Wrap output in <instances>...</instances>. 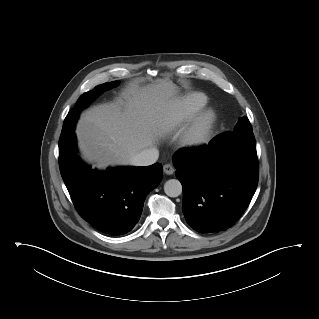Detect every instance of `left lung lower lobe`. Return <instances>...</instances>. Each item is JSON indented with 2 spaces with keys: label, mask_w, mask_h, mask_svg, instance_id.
Returning a JSON list of instances; mask_svg holds the SVG:
<instances>
[{
  "label": "left lung lower lobe",
  "mask_w": 319,
  "mask_h": 319,
  "mask_svg": "<svg viewBox=\"0 0 319 319\" xmlns=\"http://www.w3.org/2000/svg\"><path fill=\"white\" fill-rule=\"evenodd\" d=\"M183 186L182 210L200 233L225 231L244 213L258 184L254 136L223 133L198 149L173 156Z\"/></svg>",
  "instance_id": "1"
}]
</instances>
